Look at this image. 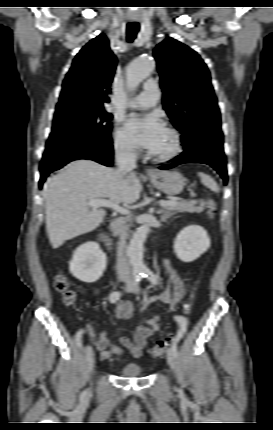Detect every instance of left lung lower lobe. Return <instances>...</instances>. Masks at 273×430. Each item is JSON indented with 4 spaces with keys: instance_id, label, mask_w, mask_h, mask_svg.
Returning <instances> with one entry per match:
<instances>
[{
    "instance_id": "0a47b994",
    "label": "left lung lower lobe",
    "mask_w": 273,
    "mask_h": 430,
    "mask_svg": "<svg viewBox=\"0 0 273 430\" xmlns=\"http://www.w3.org/2000/svg\"><path fill=\"white\" fill-rule=\"evenodd\" d=\"M190 134L181 136L184 152L170 160L172 164L161 166L160 169H171L183 163H204L212 166L227 183L225 155L223 152V133L218 124L204 121V124L190 130Z\"/></svg>"
}]
</instances>
